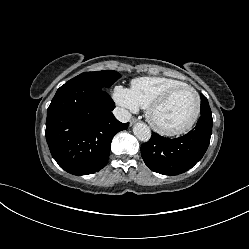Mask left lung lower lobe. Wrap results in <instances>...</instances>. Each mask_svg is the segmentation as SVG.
I'll use <instances>...</instances> for the list:
<instances>
[{
    "label": "left lung lower lobe",
    "instance_id": "1",
    "mask_svg": "<svg viewBox=\"0 0 249 249\" xmlns=\"http://www.w3.org/2000/svg\"><path fill=\"white\" fill-rule=\"evenodd\" d=\"M212 114H201L195 128L186 135L170 139L152 132L141 146L145 164L164 175H178L192 168L205 154L212 133Z\"/></svg>",
    "mask_w": 249,
    "mask_h": 249
}]
</instances>
